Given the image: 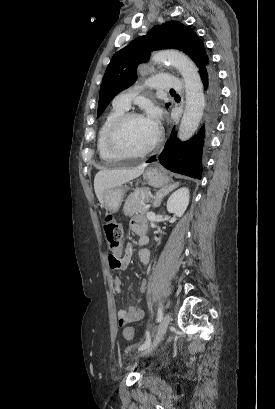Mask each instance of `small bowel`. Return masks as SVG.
Here are the masks:
<instances>
[{
  "instance_id": "1",
  "label": "small bowel",
  "mask_w": 275,
  "mask_h": 409,
  "mask_svg": "<svg viewBox=\"0 0 275 409\" xmlns=\"http://www.w3.org/2000/svg\"><path fill=\"white\" fill-rule=\"evenodd\" d=\"M137 220L141 221V220H144V219L141 218V217L135 218L133 220V222H132L133 228H134V223ZM134 230H135V228H134ZM135 231H137V230H135ZM147 242H148L147 237H145V236L141 237V239H140L141 246H144L145 244H147ZM132 255H133V248L130 245H128V246H126L125 255H124V257L122 259L118 260L117 257L114 256V255L109 256L108 257V262L110 263L109 266H108L109 269L112 270V271L115 270V269H118V270L127 269L129 264H130ZM139 259H140V262L144 266L148 265L149 262H150V252L146 248L142 247L141 250L139 251ZM113 285L115 287L116 292L121 293V291H122V281L120 279H114L113 280ZM145 289H146V281L143 280L139 284V291L144 292ZM141 316H142V310L139 307V305L138 304H132V305L127 306L124 309L119 310V312H118V321H119L120 325L124 326V325H126L128 323L137 321L138 319L141 318Z\"/></svg>"
}]
</instances>
